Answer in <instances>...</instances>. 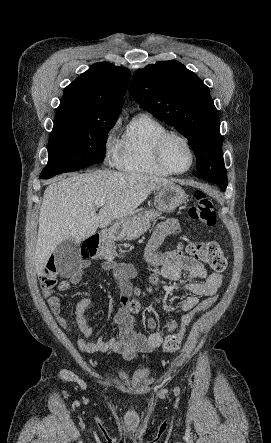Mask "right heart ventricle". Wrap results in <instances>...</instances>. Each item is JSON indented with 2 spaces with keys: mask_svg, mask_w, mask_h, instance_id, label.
I'll return each mask as SVG.
<instances>
[{
  "mask_svg": "<svg viewBox=\"0 0 271 443\" xmlns=\"http://www.w3.org/2000/svg\"><path fill=\"white\" fill-rule=\"evenodd\" d=\"M166 131L168 128L149 113L133 116L123 133L116 166L132 173L169 176L155 155L156 141Z\"/></svg>",
  "mask_w": 271,
  "mask_h": 443,
  "instance_id": "obj_1",
  "label": "right heart ventricle"
}]
</instances>
